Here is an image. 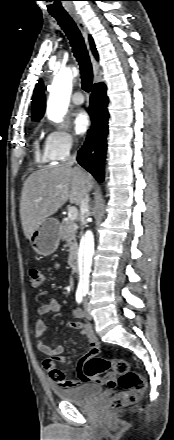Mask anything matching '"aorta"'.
<instances>
[{"instance_id": "aorta-1", "label": "aorta", "mask_w": 174, "mask_h": 440, "mask_svg": "<svg viewBox=\"0 0 174 440\" xmlns=\"http://www.w3.org/2000/svg\"><path fill=\"white\" fill-rule=\"evenodd\" d=\"M73 71L70 67L61 69L53 79L52 91L47 103L48 118L56 123L62 122L67 112L72 92ZM94 255V236L88 230L81 240L79 249V288L88 289Z\"/></svg>"}]
</instances>
